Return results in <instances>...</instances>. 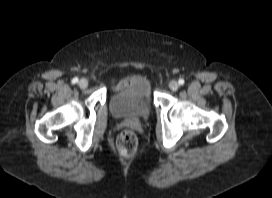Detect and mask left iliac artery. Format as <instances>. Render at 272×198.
Wrapping results in <instances>:
<instances>
[{"mask_svg": "<svg viewBox=\"0 0 272 198\" xmlns=\"http://www.w3.org/2000/svg\"><path fill=\"white\" fill-rule=\"evenodd\" d=\"M178 83H179L180 85H183V84H184V79H179Z\"/></svg>", "mask_w": 272, "mask_h": 198, "instance_id": "obj_1", "label": "left iliac artery"}]
</instances>
